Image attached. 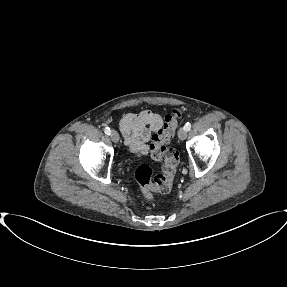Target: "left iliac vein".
<instances>
[{
  "label": "left iliac vein",
  "instance_id": "left-iliac-vein-1",
  "mask_svg": "<svg viewBox=\"0 0 287 287\" xmlns=\"http://www.w3.org/2000/svg\"><path fill=\"white\" fill-rule=\"evenodd\" d=\"M187 135V131L185 130L184 127L180 128L178 131V137L180 140H185Z\"/></svg>",
  "mask_w": 287,
  "mask_h": 287
}]
</instances>
